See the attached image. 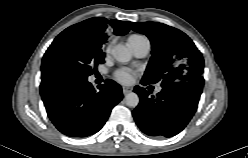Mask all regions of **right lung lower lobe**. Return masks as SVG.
I'll return each mask as SVG.
<instances>
[{
	"label": "right lung lower lobe",
	"instance_id": "right-lung-lower-lobe-1",
	"mask_svg": "<svg viewBox=\"0 0 248 158\" xmlns=\"http://www.w3.org/2000/svg\"><path fill=\"white\" fill-rule=\"evenodd\" d=\"M40 93L50 120L70 137L98 132L123 98L121 86L112 80L98 90L87 80H50L41 83Z\"/></svg>",
	"mask_w": 248,
	"mask_h": 158
}]
</instances>
